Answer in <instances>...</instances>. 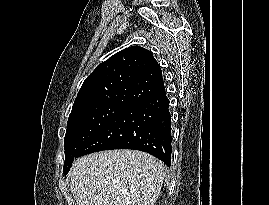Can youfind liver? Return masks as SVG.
I'll use <instances>...</instances> for the list:
<instances>
[{
  "mask_svg": "<svg viewBox=\"0 0 269 205\" xmlns=\"http://www.w3.org/2000/svg\"><path fill=\"white\" fill-rule=\"evenodd\" d=\"M165 166L136 150L89 154L74 162L70 187L77 205H154Z\"/></svg>",
  "mask_w": 269,
  "mask_h": 205,
  "instance_id": "6515ba94",
  "label": "liver"
}]
</instances>
